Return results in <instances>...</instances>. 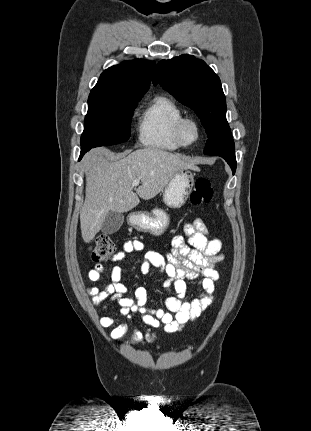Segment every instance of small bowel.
<instances>
[{"label":"small bowel","instance_id":"1","mask_svg":"<svg viewBox=\"0 0 311 431\" xmlns=\"http://www.w3.org/2000/svg\"><path fill=\"white\" fill-rule=\"evenodd\" d=\"M183 231L187 240L181 235H176L172 239L171 250L166 255L147 251L142 257L141 270L144 274H149L153 268H157L166 277L164 288L167 292L165 300L167 310L146 307L147 291L144 287H137L134 290V298L126 297L127 288L121 283L122 269L119 266L112 268L111 283L103 289L96 286L87 289L93 306H102L104 311L109 312L110 308L105 301L110 299L120 306V313L128 322L134 315H138L145 326L162 327L167 333H178L190 321L198 318L212 303L216 285L220 280L216 266L224 258L221 252L222 243L217 238H208L207 228L199 218L192 223L184 224ZM144 247L140 241H127L123 244L122 251L114 256L113 261H123L128 253L142 251ZM103 270L102 264H96L88 272V280L99 282ZM187 279H197L203 290V293L192 300L185 299ZM128 322L113 328L110 337L113 340L121 339L128 330ZM99 323L102 327H111L114 320L106 315L99 319ZM142 337L140 330L133 331V341H138ZM154 337L153 333L146 335L148 340H153Z\"/></svg>","mask_w":311,"mask_h":431}]
</instances>
